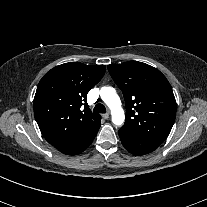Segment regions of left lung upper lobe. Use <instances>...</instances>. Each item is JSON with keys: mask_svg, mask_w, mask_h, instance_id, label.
Segmentation results:
<instances>
[{"mask_svg": "<svg viewBox=\"0 0 207 207\" xmlns=\"http://www.w3.org/2000/svg\"><path fill=\"white\" fill-rule=\"evenodd\" d=\"M107 67L125 98L126 122L121 129L163 142L176 117V101L166 77L138 61Z\"/></svg>", "mask_w": 207, "mask_h": 207, "instance_id": "1", "label": "left lung upper lobe"}]
</instances>
